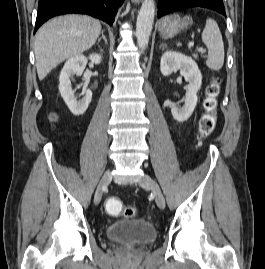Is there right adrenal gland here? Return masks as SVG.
<instances>
[{
	"label": "right adrenal gland",
	"instance_id": "right-adrenal-gland-1",
	"mask_svg": "<svg viewBox=\"0 0 265 269\" xmlns=\"http://www.w3.org/2000/svg\"><path fill=\"white\" fill-rule=\"evenodd\" d=\"M102 39H103L104 42L107 44V39H106V37H105V35H104V31L101 32V37L98 39V43H100Z\"/></svg>",
	"mask_w": 265,
	"mask_h": 269
}]
</instances>
